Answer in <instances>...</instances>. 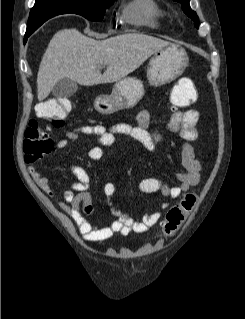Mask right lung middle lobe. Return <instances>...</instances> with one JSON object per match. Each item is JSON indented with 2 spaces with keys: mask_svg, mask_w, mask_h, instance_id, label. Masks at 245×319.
Wrapping results in <instances>:
<instances>
[{
  "mask_svg": "<svg viewBox=\"0 0 245 319\" xmlns=\"http://www.w3.org/2000/svg\"><path fill=\"white\" fill-rule=\"evenodd\" d=\"M112 2L114 0H70L62 3L65 8L64 13H75L92 21H101L104 18L106 8ZM30 22L35 23L36 18Z\"/></svg>",
  "mask_w": 245,
  "mask_h": 319,
  "instance_id": "dd1d6c3e",
  "label": "right lung middle lobe"
}]
</instances>
